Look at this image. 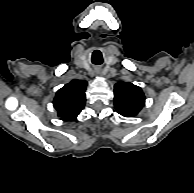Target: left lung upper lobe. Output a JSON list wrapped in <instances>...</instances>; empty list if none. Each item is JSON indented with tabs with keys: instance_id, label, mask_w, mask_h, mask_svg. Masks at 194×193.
I'll return each mask as SVG.
<instances>
[{
	"instance_id": "1",
	"label": "left lung upper lobe",
	"mask_w": 194,
	"mask_h": 193,
	"mask_svg": "<svg viewBox=\"0 0 194 193\" xmlns=\"http://www.w3.org/2000/svg\"><path fill=\"white\" fill-rule=\"evenodd\" d=\"M144 104L145 96L140 87L129 82H119L114 86V105L122 116L137 115Z\"/></svg>"
}]
</instances>
